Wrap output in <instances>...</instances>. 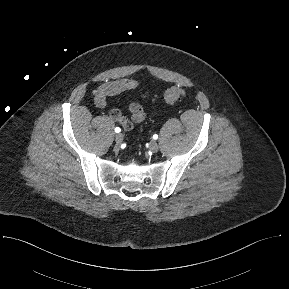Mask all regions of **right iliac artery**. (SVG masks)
<instances>
[{"label": "right iliac artery", "instance_id": "right-iliac-artery-1", "mask_svg": "<svg viewBox=\"0 0 289 289\" xmlns=\"http://www.w3.org/2000/svg\"><path fill=\"white\" fill-rule=\"evenodd\" d=\"M115 132H116V133H119V132H121V129H120L119 127H116V128H115Z\"/></svg>", "mask_w": 289, "mask_h": 289}]
</instances>
